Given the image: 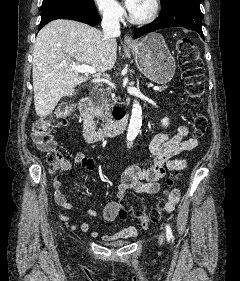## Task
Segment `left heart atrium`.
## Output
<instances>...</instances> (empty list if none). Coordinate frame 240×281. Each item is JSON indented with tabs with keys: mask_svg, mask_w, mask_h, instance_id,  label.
Here are the masks:
<instances>
[{
	"mask_svg": "<svg viewBox=\"0 0 240 281\" xmlns=\"http://www.w3.org/2000/svg\"><path fill=\"white\" fill-rule=\"evenodd\" d=\"M137 2L138 0H125L127 9L131 12L135 8Z\"/></svg>",
	"mask_w": 240,
	"mask_h": 281,
	"instance_id": "obj_1",
	"label": "left heart atrium"
}]
</instances>
